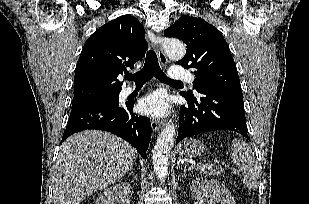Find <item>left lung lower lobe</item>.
Instances as JSON below:
<instances>
[{
    "label": "left lung lower lobe",
    "instance_id": "obj_1",
    "mask_svg": "<svg viewBox=\"0 0 309 204\" xmlns=\"http://www.w3.org/2000/svg\"><path fill=\"white\" fill-rule=\"evenodd\" d=\"M198 95L181 93L188 101L180 108L176 144L186 137L213 130H231L248 137L241 91L199 89Z\"/></svg>",
    "mask_w": 309,
    "mask_h": 204
}]
</instances>
